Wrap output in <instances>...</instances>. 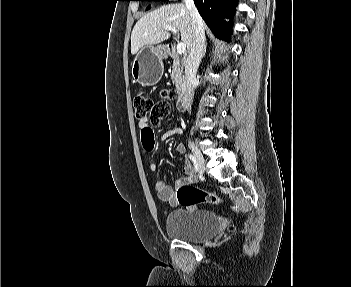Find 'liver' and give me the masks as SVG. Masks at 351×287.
<instances>
[{
	"label": "liver",
	"instance_id": "liver-1",
	"mask_svg": "<svg viewBox=\"0 0 351 287\" xmlns=\"http://www.w3.org/2000/svg\"><path fill=\"white\" fill-rule=\"evenodd\" d=\"M166 26H172L180 32L181 40L189 51L193 41L192 19L183 3H174L151 11L137 21L131 33L132 55L144 46L169 39L170 33L165 29Z\"/></svg>",
	"mask_w": 351,
	"mask_h": 287
}]
</instances>
